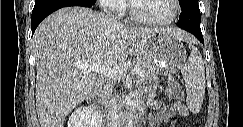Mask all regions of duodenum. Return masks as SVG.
Masks as SVG:
<instances>
[{"instance_id": "obj_1", "label": "duodenum", "mask_w": 243, "mask_h": 127, "mask_svg": "<svg viewBox=\"0 0 243 127\" xmlns=\"http://www.w3.org/2000/svg\"><path fill=\"white\" fill-rule=\"evenodd\" d=\"M104 82L99 81L94 90L87 97V104L94 110L100 111L102 107V93L104 90ZM128 111L137 118L144 111L143 101L138 99L134 100L129 106Z\"/></svg>"}]
</instances>
